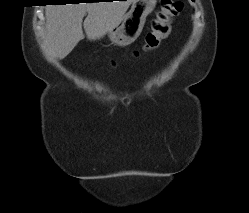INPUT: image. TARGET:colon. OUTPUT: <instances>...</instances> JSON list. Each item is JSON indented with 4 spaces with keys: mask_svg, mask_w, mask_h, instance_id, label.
<instances>
[{
    "mask_svg": "<svg viewBox=\"0 0 249 213\" xmlns=\"http://www.w3.org/2000/svg\"><path fill=\"white\" fill-rule=\"evenodd\" d=\"M182 9L183 4L179 0H160V8L151 22V30L145 36L144 51L158 48L161 41L169 35L171 23ZM134 55H138V52Z\"/></svg>",
    "mask_w": 249,
    "mask_h": 213,
    "instance_id": "colon-1",
    "label": "colon"
}]
</instances>
